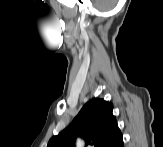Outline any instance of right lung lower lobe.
Here are the masks:
<instances>
[{
	"label": "right lung lower lobe",
	"instance_id": "98d812e1",
	"mask_svg": "<svg viewBox=\"0 0 163 147\" xmlns=\"http://www.w3.org/2000/svg\"><path fill=\"white\" fill-rule=\"evenodd\" d=\"M111 147H124L122 136Z\"/></svg>",
	"mask_w": 163,
	"mask_h": 147
}]
</instances>
